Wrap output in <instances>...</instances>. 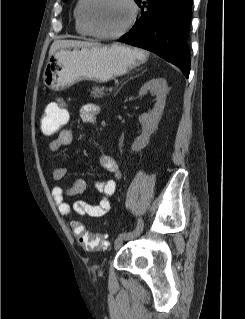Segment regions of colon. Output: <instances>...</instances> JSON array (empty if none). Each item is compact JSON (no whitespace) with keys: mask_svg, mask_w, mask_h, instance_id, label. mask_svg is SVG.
I'll use <instances>...</instances> for the list:
<instances>
[{"mask_svg":"<svg viewBox=\"0 0 245 319\" xmlns=\"http://www.w3.org/2000/svg\"><path fill=\"white\" fill-rule=\"evenodd\" d=\"M66 120V109L60 104H55L46 108L41 117V128L45 134L51 135L60 131ZM72 227L82 247L88 250H97L107 245V241L103 235L85 230L80 223L74 221Z\"/></svg>","mask_w":245,"mask_h":319,"instance_id":"5ec220e1","label":"colon"}]
</instances>
